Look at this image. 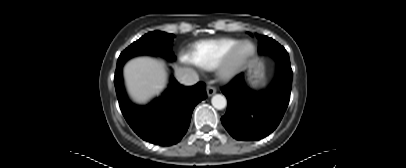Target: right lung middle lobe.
<instances>
[{
	"instance_id": "right-lung-middle-lobe-1",
	"label": "right lung middle lobe",
	"mask_w": 406,
	"mask_h": 168,
	"mask_svg": "<svg viewBox=\"0 0 406 168\" xmlns=\"http://www.w3.org/2000/svg\"><path fill=\"white\" fill-rule=\"evenodd\" d=\"M173 38V34L161 31L145 34L120 54L117 67L124 65L130 58L140 55L161 56L168 60H174L175 56L171 50Z\"/></svg>"
}]
</instances>
